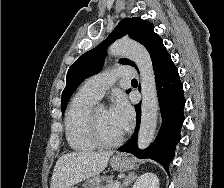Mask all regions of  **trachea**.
I'll use <instances>...</instances> for the list:
<instances>
[{
  "instance_id": "trachea-1",
  "label": "trachea",
  "mask_w": 224,
  "mask_h": 188,
  "mask_svg": "<svg viewBox=\"0 0 224 188\" xmlns=\"http://www.w3.org/2000/svg\"><path fill=\"white\" fill-rule=\"evenodd\" d=\"M131 82L132 83H137V80L136 79H133Z\"/></svg>"
}]
</instances>
